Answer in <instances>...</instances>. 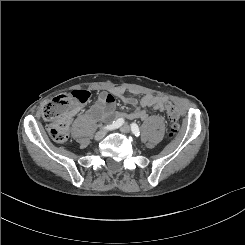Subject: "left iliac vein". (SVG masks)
<instances>
[{
    "label": "left iliac vein",
    "instance_id": "4c4485c4",
    "mask_svg": "<svg viewBox=\"0 0 245 245\" xmlns=\"http://www.w3.org/2000/svg\"><path fill=\"white\" fill-rule=\"evenodd\" d=\"M120 131L123 133H129L131 131V128L129 125L125 124L120 128Z\"/></svg>",
    "mask_w": 245,
    "mask_h": 245
}]
</instances>
